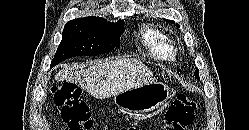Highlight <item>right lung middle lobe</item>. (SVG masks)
<instances>
[{
    "instance_id": "right-lung-middle-lobe-1",
    "label": "right lung middle lobe",
    "mask_w": 249,
    "mask_h": 130,
    "mask_svg": "<svg viewBox=\"0 0 249 130\" xmlns=\"http://www.w3.org/2000/svg\"><path fill=\"white\" fill-rule=\"evenodd\" d=\"M124 22H107L100 17H84L69 21L63 30L51 67L74 56H94L119 47Z\"/></svg>"
}]
</instances>
